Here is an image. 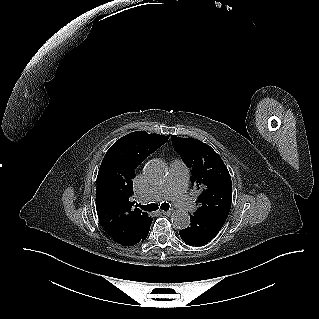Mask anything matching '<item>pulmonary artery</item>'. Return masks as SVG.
Returning <instances> with one entry per match:
<instances>
[{
  "label": "pulmonary artery",
  "instance_id": "1",
  "mask_svg": "<svg viewBox=\"0 0 319 319\" xmlns=\"http://www.w3.org/2000/svg\"><path fill=\"white\" fill-rule=\"evenodd\" d=\"M189 180V171L181 160H173L170 163V173L167 180L150 188L140 199V202L159 201L162 199L173 200L184 213L192 211L194 205L186 193Z\"/></svg>",
  "mask_w": 319,
  "mask_h": 319
}]
</instances>
